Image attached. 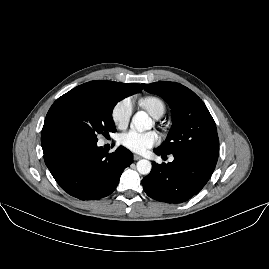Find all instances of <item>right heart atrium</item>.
I'll return each mask as SVG.
<instances>
[{
	"label": "right heart atrium",
	"mask_w": 269,
	"mask_h": 269,
	"mask_svg": "<svg viewBox=\"0 0 269 269\" xmlns=\"http://www.w3.org/2000/svg\"><path fill=\"white\" fill-rule=\"evenodd\" d=\"M133 113V102L130 98L126 97L119 100L112 108L111 118L114 125L119 128H125Z\"/></svg>",
	"instance_id": "obj_1"
}]
</instances>
